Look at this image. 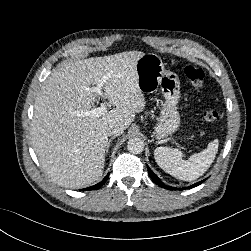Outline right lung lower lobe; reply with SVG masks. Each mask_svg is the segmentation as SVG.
<instances>
[{
	"instance_id": "1",
	"label": "right lung lower lobe",
	"mask_w": 251,
	"mask_h": 251,
	"mask_svg": "<svg viewBox=\"0 0 251 251\" xmlns=\"http://www.w3.org/2000/svg\"><path fill=\"white\" fill-rule=\"evenodd\" d=\"M108 177H109V173L105 176V178L100 183H98L94 186L88 187L84 190H97V189H99L107 181Z\"/></svg>"
}]
</instances>
